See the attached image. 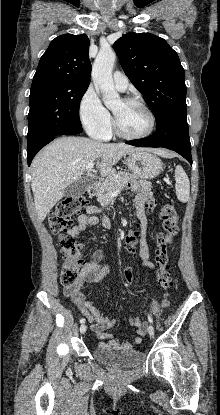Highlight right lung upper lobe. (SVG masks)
I'll list each match as a JSON object with an SVG mask.
<instances>
[{"label":"right lung upper lobe","instance_id":"right-lung-upper-lobe-1","mask_svg":"<svg viewBox=\"0 0 220 415\" xmlns=\"http://www.w3.org/2000/svg\"><path fill=\"white\" fill-rule=\"evenodd\" d=\"M89 45L90 41L85 34H63L56 37L42 55L32 82L55 80L89 86Z\"/></svg>","mask_w":220,"mask_h":415}]
</instances>
